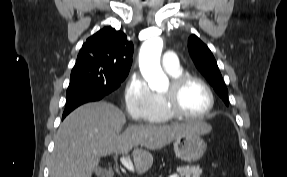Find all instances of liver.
I'll list each match as a JSON object with an SVG mask.
<instances>
[{
  "label": "liver",
  "mask_w": 287,
  "mask_h": 177,
  "mask_svg": "<svg viewBox=\"0 0 287 177\" xmlns=\"http://www.w3.org/2000/svg\"><path fill=\"white\" fill-rule=\"evenodd\" d=\"M124 113L100 101L80 106L61 123L50 163V177H91L102 156L127 154L138 174L148 171L157 150L189 134H206L211 126L198 120L170 125H131L124 132ZM138 146L145 147L138 148Z\"/></svg>",
  "instance_id": "1"
}]
</instances>
